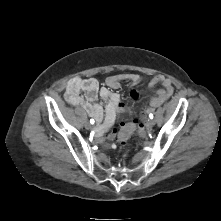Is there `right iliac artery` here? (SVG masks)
<instances>
[{
  "label": "right iliac artery",
  "mask_w": 221,
  "mask_h": 221,
  "mask_svg": "<svg viewBox=\"0 0 221 221\" xmlns=\"http://www.w3.org/2000/svg\"><path fill=\"white\" fill-rule=\"evenodd\" d=\"M94 122H95L94 119H90L91 124H94Z\"/></svg>",
  "instance_id": "1"
}]
</instances>
